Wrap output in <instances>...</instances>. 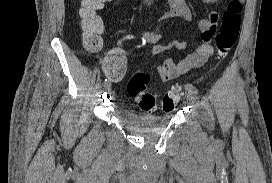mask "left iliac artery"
I'll use <instances>...</instances> for the list:
<instances>
[{
	"label": "left iliac artery",
	"mask_w": 272,
	"mask_h": 183,
	"mask_svg": "<svg viewBox=\"0 0 272 183\" xmlns=\"http://www.w3.org/2000/svg\"><path fill=\"white\" fill-rule=\"evenodd\" d=\"M186 89H187L188 92L191 93V94H194V95H197V94H198V90H197L195 87H193V86H187Z\"/></svg>",
	"instance_id": "left-iliac-artery-1"
}]
</instances>
